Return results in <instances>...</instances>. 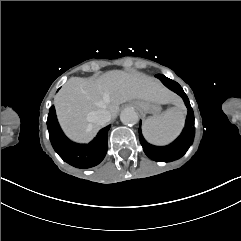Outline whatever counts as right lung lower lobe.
<instances>
[{
  "mask_svg": "<svg viewBox=\"0 0 241 241\" xmlns=\"http://www.w3.org/2000/svg\"><path fill=\"white\" fill-rule=\"evenodd\" d=\"M47 127L51 144L59 156L68 164L81 169L98 165L107 153V138L110 125L101 129L88 144H78L70 141L61 130L54 106L50 108Z\"/></svg>",
  "mask_w": 241,
  "mask_h": 241,
  "instance_id": "1",
  "label": "right lung lower lobe"
}]
</instances>
